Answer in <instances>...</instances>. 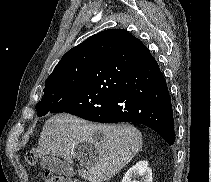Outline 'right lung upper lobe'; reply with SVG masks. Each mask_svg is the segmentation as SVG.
Masks as SVG:
<instances>
[{
  "instance_id": "1",
  "label": "right lung upper lobe",
  "mask_w": 211,
  "mask_h": 182,
  "mask_svg": "<svg viewBox=\"0 0 211 182\" xmlns=\"http://www.w3.org/2000/svg\"><path fill=\"white\" fill-rule=\"evenodd\" d=\"M98 34L89 37L88 39H86L85 41H83L82 43L77 45L76 47L70 49L65 55H63V57L61 58L60 62L57 64V66L54 68L51 75L55 74L59 70L65 68V67H68V66H73V65L85 63V62L89 63ZM128 34L131 37V41L140 42L132 34H130V33H128Z\"/></svg>"
}]
</instances>
